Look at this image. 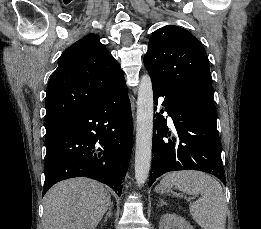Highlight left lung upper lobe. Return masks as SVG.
Listing matches in <instances>:
<instances>
[{
    "instance_id": "1",
    "label": "left lung upper lobe",
    "mask_w": 261,
    "mask_h": 229,
    "mask_svg": "<svg viewBox=\"0 0 261 229\" xmlns=\"http://www.w3.org/2000/svg\"><path fill=\"white\" fill-rule=\"evenodd\" d=\"M144 65L152 80L213 97L207 54L202 44L185 29L168 25L155 31L149 40Z\"/></svg>"
}]
</instances>
